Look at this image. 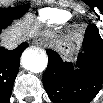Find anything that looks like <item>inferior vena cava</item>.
<instances>
[{
  "mask_svg": "<svg viewBox=\"0 0 103 103\" xmlns=\"http://www.w3.org/2000/svg\"><path fill=\"white\" fill-rule=\"evenodd\" d=\"M17 45H18V43L13 42V41H8V42L4 43V47L7 49H14L17 47Z\"/></svg>",
  "mask_w": 103,
  "mask_h": 103,
  "instance_id": "602c4592",
  "label": "inferior vena cava"
}]
</instances>
